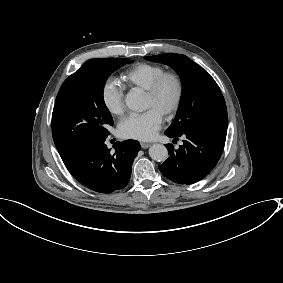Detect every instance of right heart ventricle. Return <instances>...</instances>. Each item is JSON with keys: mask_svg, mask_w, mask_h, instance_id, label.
<instances>
[{"mask_svg": "<svg viewBox=\"0 0 283 283\" xmlns=\"http://www.w3.org/2000/svg\"><path fill=\"white\" fill-rule=\"evenodd\" d=\"M164 72L165 68L162 65L138 62L122 72V79L128 87H139L146 90Z\"/></svg>", "mask_w": 283, "mask_h": 283, "instance_id": "e07e8e85", "label": "right heart ventricle"}]
</instances>
